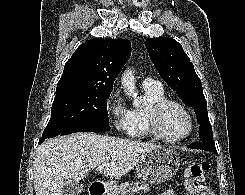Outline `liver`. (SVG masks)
Wrapping results in <instances>:
<instances>
[{"label": "liver", "instance_id": "obj_1", "mask_svg": "<svg viewBox=\"0 0 245 195\" xmlns=\"http://www.w3.org/2000/svg\"><path fill=\"white\" fill-rule=\"evenodd\" d=\"M160 147L149 142L82 132L46 140L36 151L35 193L63 195L66 184L86 178L98 165H104L102 175L118 179L132 170L143 154Z\"/></svg>", "mask_w": 245, "mask_h": 195}]
</instances>
